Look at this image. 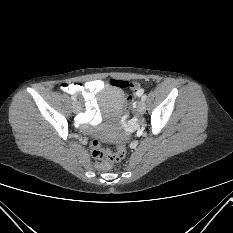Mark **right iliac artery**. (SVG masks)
<instances>
[{"instance_id": "1", "label": "right iliac artery", "mask_w": 233, "mask_h": 233, "mask_svg": "<svg viewBox=\"0 0 233 233\" xmlns=\"http://www.w3.org/2000/svg\"><path fill=\"white\" fill-rule=\"evenodd\" d=\"M71 99H72V101H76L77 100L75 96H71Z\"/></svg>"}]
</instances>
